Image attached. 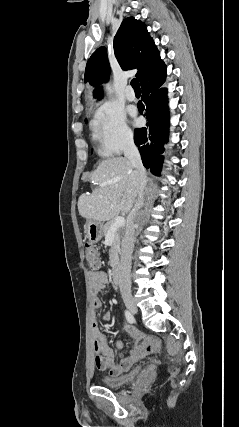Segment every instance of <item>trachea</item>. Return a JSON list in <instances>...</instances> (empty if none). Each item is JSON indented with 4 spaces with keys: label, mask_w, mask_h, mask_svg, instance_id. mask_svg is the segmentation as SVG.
I'll list each match as a JSON object with an SVG mask.
<instances>
[{
    "label": "trachea",
    "mask_w": 239,
    "mask_h": 427,
    "mask_svg": "<svg viewBox=\"0 0 239 427\" xmlns=\"http://www.w3.org/2000/svg\"><path fill=\"white\" fill-rule=\"evenodd\" d=\"M131 86L133 87L135 92H141L140 83L137 78L131 80Z\"/></svg>",
    "instance_id": "obj_1"
}]
</instances>
